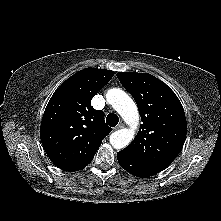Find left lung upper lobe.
<instances>
[{"label": "left lung upper lobe", "mask_w": 221, "mask_h": 221, "mask_svg": "<svg viewBox=\"0 0 221 221\" xmlns=\"http://www.w3.org/2000/svg\"><path fill=\"white\" fill-rule=\"evenodd\" d=\"M117 77L135 99L142 124L122 152L164 170L181 151L187 133L185 113L175 93L148 73L119 72Z\"/></svg>", "instance_id": "left-lung-upper-lobe-1"}]
</instances>
